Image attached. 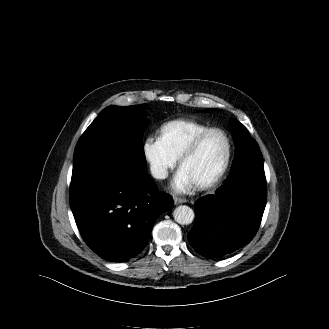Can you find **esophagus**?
I'll list each match as a JSON object with an SVG mask.
<instances>
[{"mask_svg": "<svg viewBox=\"0 0 329 329\" xmlns=\"http://www.w3.org/2000/svg\"><path fill=\"white\" fill-rule=\"evenodd\" d=\"M185 202H187L186 199L177 198V197L174 198V204L175 205H178V204H181V203H185Z\"/></svg>", "mask_w": 329, "mask_h": 329, "instance_id": "esophagus-1", "label": "esophagus"}]
</instances>
